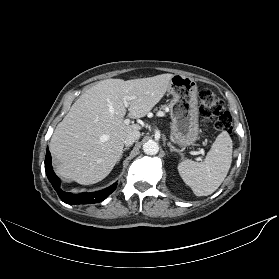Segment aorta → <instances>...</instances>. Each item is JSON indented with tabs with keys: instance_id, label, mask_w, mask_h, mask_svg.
I'll list each match as a JSON object with an SVG mask.
<instances>
[{
	"instance_id": "762f6f07",
	"label": "aorta",
	"mask_w": 279,
	"mask_h": 279,
	"mask_svg": "<svg viewBox=\"0 0 279 279\" xmlns=\"http://www.w3.org/2000/svg\"><path fill=\"white\" fill-rule=\"evenodd\" d=\"M143 151L148 155H155L159 152V145L154 140H149L143 144Z\"/></svg>"
}]
</instances>
